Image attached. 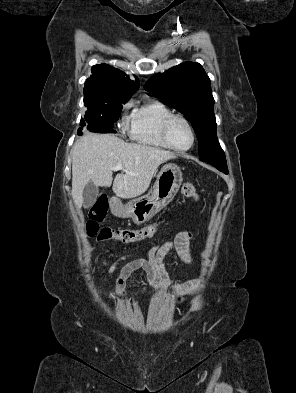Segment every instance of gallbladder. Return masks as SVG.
Here are the masks:
<instances>
[{
    "instance_id": "gallbladder-1",
    "label": "gallbladder",
    "mask_w": 296,
    "mask_h": 393,
    "mask_svg": "<svg viewBox=\"0 0 296 393\" xmlns=\"http://www.w3.org/2000/svg\"><path fill=\"white\" fill-rule=\"evenodd\" d=\"M99 189L93 183L89 182L83 190V206L91 207L97 200Z\"/></svg>"
}]
</instances>
